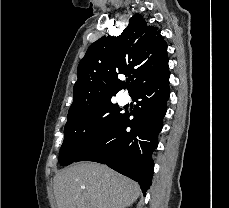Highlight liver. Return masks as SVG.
Returning a JSON list of instances; mask_svg holds the SVG:
<instances>
[{"mask_svg": "<svg viewBox=\"0 0 229 208\" xmlns=\"http://www.w3.org/2000/svg\"><path fill=\"white\" fill-rule=\"evenodd\" d=\"M58 208H127L138 200L137 182L96 162L72 164L54 176Z\"/></svg>", "mask_w": 229, "mask_h": 208, "instance_id": "obj_1", "label": "liver"}]
</instances>
